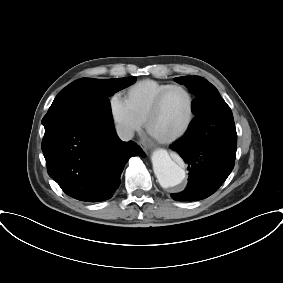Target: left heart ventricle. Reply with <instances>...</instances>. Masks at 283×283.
I'll list each match as a JSON object with an SVG mask.
<instances>
[{
	"mask_svg": "<svg viewBox=\"0 0 283 283\" xmlns=\"http://www.w3.org/2000/svg\"><path fill=\"white\" fill-rule=\"evenodd\" d=\"M189 99L180 89L171 90L164 98L158 114L151 122V132L160 137L178 131L187 119Z\"/></svg>",
	"mask_w": 283,
	"mask_h": 283,
	"instance_id": "left-heart-ventricle-1",
	"label": "left heart ventricle"
}]
</instances>
